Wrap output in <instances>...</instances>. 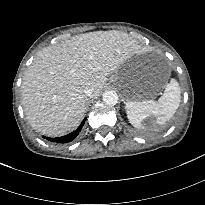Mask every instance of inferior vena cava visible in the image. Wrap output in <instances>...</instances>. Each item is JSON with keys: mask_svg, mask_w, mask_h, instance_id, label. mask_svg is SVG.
Segmentation results:
<instances>
[{"mask_svg": "<svg viewBox=\"0 0 205 205\" xmlns=\"http://www.w3.org/2000/svg\"><path fill=\"white\" fill-rule=\"evenodd\" d=\"M84 93L86 96L92 97L93 96V88L89 87V86L85 87Z\"/></svg>", "mask_w": 205, "mask_h": 205, "instance_id": "602c4592", "label": "inferior vena cava"}]
</instances>
